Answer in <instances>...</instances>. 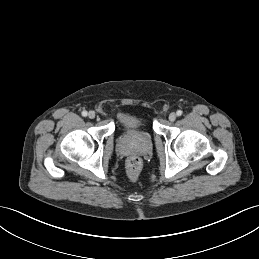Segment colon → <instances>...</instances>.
Here are the masks:
<instances>
[{"mask_svg": "<svg viewBox=\"0 0 259 259\" xmlns=\"http://www.w3.org/2000/svg\"><path fill=\"white\" fill-rule=\"evenodd\" d=\"M142 169V161L137 156L130 157L126 162V173L130 180L134 181L138 178Z\"/></svg>", "mask_w": 259, "mask_h": 259, "instance_id": "5ec220e1", "label": "colon"}]
</instances>
